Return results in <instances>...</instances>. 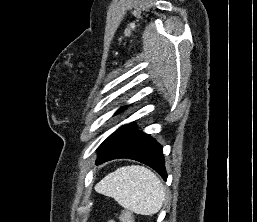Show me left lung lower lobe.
I'll list each match as a JSON object with an SVG mask.
<instances>
[{"label":"left lung lower lobe","instance_id":"obj_1","mask_svg":"<svg viewBox=\"0 0 257 222\" xmlns=\"http://www.w3.org/2000/svg\"><path fill=\"white\" fill-rule=\"evenodd\" d=\"M119 158H129L144 163L164 180L167 179L162 146L149 135L134 130L132 123L126 125L103 147L96 164Z\"/></svg>","mask_w":257,"mask_h":222}]
</instances>
